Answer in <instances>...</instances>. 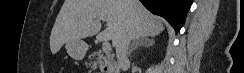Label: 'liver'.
Listing matches in <instances>:
<instances>
[{"mask_svg": "<svg viewBox=\"0 0 244 73\" xmlns=\"http://www.w3.org/2000/svg\"><path fill=\"white\" fill-rule=\"evenodd\" d=\"M101 21L107 23L102 32ZM127 29L133 40L154 37L164 30L163 19L138 0H65L51 31L50 49L56 54L64 43L94 35L116 47Z\"/></svg>", "mask_w": 244, "mask_h": 73, "instance_id": "6515ba94", "label": "liver"}]
</instances>
